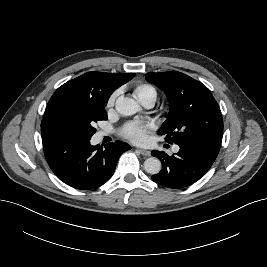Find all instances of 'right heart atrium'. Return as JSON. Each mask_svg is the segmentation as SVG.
Wrapping results in <instances>:
<instances>
[{
  "label": "right heart atrium",
  "mask_w": 267,
  "mask_h": 267,
  "mask_svg": "<svg viewBox=\"0 0 267 267\" xmlns=\"http://www.w3.org/2000/svg\"><path fill=\"white\" fill-rule=\"evenodd\" d=\"M117 96H118V91L113 92L109 96V98H108V100L106 102V108L107 109H110V108H112L114 106V103H115V100H116Z\"/></svg>",
  "instance_id": "1"
}]
</instances>
